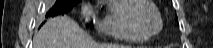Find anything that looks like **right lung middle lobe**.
<instances>
[{"label": "right lung middle lobe", "mask_w": 213, "mask_h": 48, "mask_svg": "<svg viewBox=\"0 0 213 48\" xmlns=\"http://www.w3.org/2000/svg\"><path fill=\"white\" fill-rule=\"evenodd\" d=\"M79 2H81V0H57L55 5L47 12V17L65 14Z\"/></svg>", "instance_id": "right-lung-middle-lobe-1"}]
</instances>
